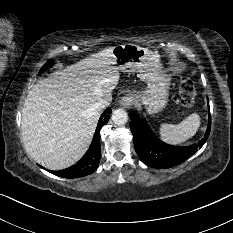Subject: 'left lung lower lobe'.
Segmentation results:
<instances>
[{"label": "left lung lower lobe", "instance_id": "1", "mask_svg": "<svg viewBox=\"0 0 233 233\" xmlns=\"http://www.w3.org/2000/svg\"><path fill=\"white\" fill-rule=\"evenodd\" d=\"M130 128L133 134V143L139 158L148 166L168 169L179 165L200 149L207 140L211 129V115L204 138L187 147H176L159 140L148 126L146 120L136 114L130 116Z\"/></svg>", "mask_w": 233, "mask_h": 233}]
</instances>
